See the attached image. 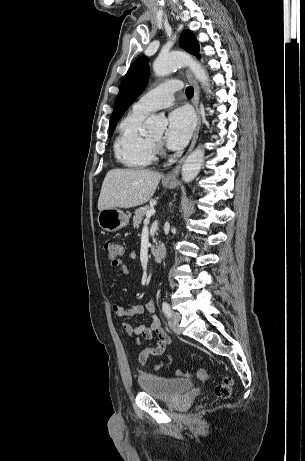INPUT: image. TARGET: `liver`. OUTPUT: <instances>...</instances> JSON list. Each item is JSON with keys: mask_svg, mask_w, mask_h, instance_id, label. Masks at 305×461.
<instances>
[{"mask_svg": "<svg viewBox=\"0 0 305 461\" xmlns=\"http://www.w3.org/2000/svg\"><path fill=\"white\" fill-rule=\"evenodd\" d=\"M161 177L158 172L143 169L108 171L101 187L98 210L131 208L148 202Z\"/></svg>", "mask_w": 305, "mask_h": 461, "instance_id": "6515ba94", "label": "liver"}]
</instances>
